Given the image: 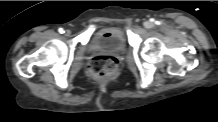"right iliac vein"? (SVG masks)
<instances>
[{"label": "right iliac vein", "mask_w": 218, "mask_h": 122, "mask_svg": "<svg viewBox=\"0 0 218 122\" xmlns=\"http://www.w3.org/2000/svg\"><path fill=\"white\" fill-rule=\"evenodd\" d=\"M70 34H71V31H70V30H66V31H65V35H66V36H69Z\"/></svg>", "instance_id": "obj_1"}]
</instances>
